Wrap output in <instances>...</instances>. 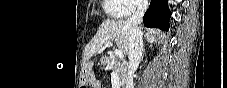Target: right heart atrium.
<instances>
[{
  "instance_id": "obj_1",
  "label": "right heart atrium",
  "mask_w": 227,
  "mask_h": 88,
  "mask_svg": "<svg viewBox=\"0 0 227 88\" xmlns=\"http://www.w3.org/2000/svg\"><path fill=\"white\" fill-rule=\"evenodd\" d=\"M127 4V10L125 16H131L135 14L143 5V0H125Z\"/></svg>"
}]
</instances>
